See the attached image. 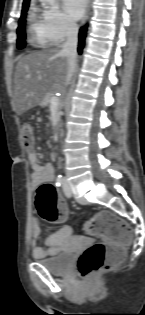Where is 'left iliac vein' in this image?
Wrapping results in <instances>:
<instances>
[{
    "instance_id": "obj_1",
    "label": "left iliac vein",
    "mask_w": 145,
    "mask_h": 315,
    "mask_svg": "<svg viewBox=\"0 0 145 315\" xmlns=\"http://www.w3.org/2000/svg\"><path fill=\"white\" fill-rule=\"evenodd\" d=\"M63 191H64L65 196L67 197L72 196V189H71L69 181L66 178H64V182H63Z\"/></svg>"
}]
</instances>
